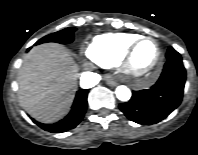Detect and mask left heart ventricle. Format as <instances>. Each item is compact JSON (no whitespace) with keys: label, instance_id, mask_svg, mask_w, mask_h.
Instances as JSON below:
<instances>
[{"label":"left heart ventricle","instance_id":"left-heart-ventricle-1","mask_svg":"<svg viewBox=\"0 0 198 155\" xmlns=\"http://www.w3.org/2000/svg\"><path fill=\"white\" fill-rule=\"evenodd\" d=\"M157 47L152 41H144L136 48L132 65L137 71L147 70L155 61Z\"/></svg>","mask_w":198,"mask_h":155}]
</instances>
